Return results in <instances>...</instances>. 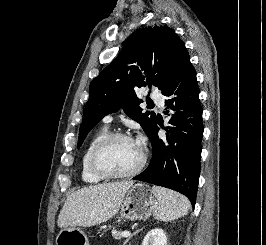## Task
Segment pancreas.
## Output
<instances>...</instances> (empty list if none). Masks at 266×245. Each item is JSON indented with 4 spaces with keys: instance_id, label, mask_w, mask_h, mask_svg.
I'll list each match as a JSON object with an SVG mask.
<instances>
[{
    "instance_id": "cf45deb5",
    "label": "pancreas",
    "mask_w": 266,
    "mask_h": 245,
    "mask_svg": "<svg viewBox=\"0 0 266 245\" xmlns=\"http://www.w3.org/2000/svg\"><path fill=\"white\" fill-rule=\"evenodd\" d=\"M113 239H117V241H120L122 239L121 233L122 231H111Z\"/></svg>"
}]
</instances>
